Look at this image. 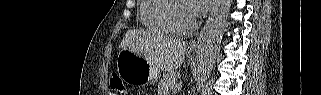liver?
<instances>
[{
  "label": "liver",
  "mask_w": 321,
  "mask_h": 95,
  "mask_svg": "<svg viewBox=\"0 0 321 95\" xmlns=\"http://www.w3.org/2000/svg\"><path fill=\"white\" fill-rule=\"evenodd\" d=\"M151 37L140 30H128L120 44L121 49L144 53V58L160 70L173 72L179 68L187 49V44L180 40L163 37L154 41V48L147 49L146 42Z\"/></svg>",
  "instance_id": "1"
}]
</instances>
